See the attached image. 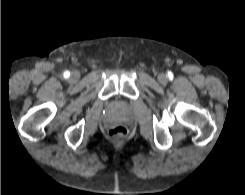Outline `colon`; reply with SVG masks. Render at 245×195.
Segmentation results:
<instances>
[{"instance_id":"obj_1","label":"colon","mask_w":245,"mask_h":195,"mask_svg":"<svg viewBox=\"0 0 245 195\" xmlns=\"http://www.w3.org/2000/svg\"><path fill=\"white\" fill-rule=\"evenodd\" d=\"M109 135L112 138H122L127 135V129L122 126H118V127L112 128L109 131Z\"/></svg>"}]
</instances>
